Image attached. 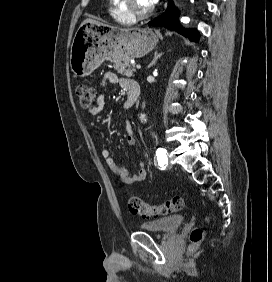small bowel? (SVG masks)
I'll list each match as a JSON object with an SVG mask.
<instances>
[{"instance_id":"1","label":"small bowel","mask_w":272,"mask_h":282,"mask_svg":"<svg viewBox=\"0 0 272 282\" xmlns=\"http://www.w3.org/2000/svg\"><path fill=\"white\" fill-rule=\"evenodd\" d=\"M106 80L114 84H119L120 87L126 90L124 79H118L114 74H109L105 77ZM101 87L103 91L98 96L95 104L89 109V113L92 115H97L104 109L105 106V97H104V89L106 87L105 80L101 83ZM127 142L130 145H135L138 142V135L132 129L130 125H127ZM102 156L105 158L107 166L113 171H119L121 180L126 184H134L137 182H141L146 177V169H145V161L141 160L139 162V172L137 174H130L123 165H118L115 160L110 157L109 150L107 148H103L101 151Z\"/></svg>"}]
</instances>
